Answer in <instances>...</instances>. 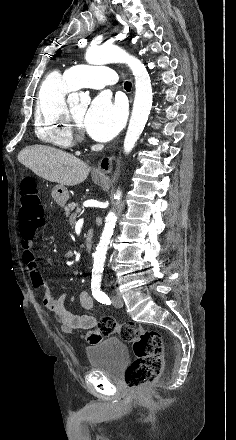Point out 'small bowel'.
I'll return each instance as SVG.
<instances>
[{"label":"small bowel","mask_w":236,"mask_h":440,"mask_svg":"<svg viewBox=\"0 0 236 440\" xmlns=\"http://www.w3.org/2000/svg\"><path fill=\"white\" fill-rule=\"evenodd\" d=\"M21 247L23 250V261L28 267L32 284L43 293V304L47 309L54 312L60 324L61 332L64 335H70L72 333L74 336L82 335L86 340L101 339L104 334L100 330V326L96 325L97 317L95 315L73 314L65 307L66 294H62L56 298L51 295L39 271L31 239L24 237L21 242ZM79 300L85 310L89 311L93 308V301L86 290L80 292Z\"/></svg>","instance_id":"c3829d8e"}]
</instances>
